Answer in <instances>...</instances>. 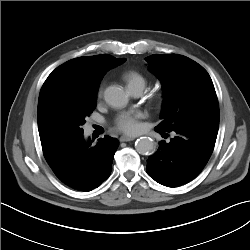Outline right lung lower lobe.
I'll return each mask as SVG.
<instances>
[{"mask_svg":"<svg viewBox=\"0 0 250 250\" xmlns=\"http://www.w3.org/2000/svg\"><path fill=\"white\" fill-rule=\"evenodd\" d=\"M44 157L65 185L79 191H91L111 173L116 138L104 136L96 145L86 141L83 133L41 142Z\"/></svg>","mask_w":250,"mask_h":250,"instance_id":"obj_1","label":"right lung lower lobe"}]
</instances>
